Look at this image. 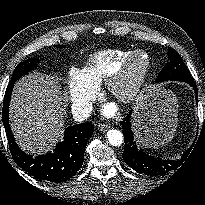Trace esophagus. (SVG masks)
<instances>
[{
	"instance_id": "esophagus-1",
	"label": "esophagus",
	"mask_w": 205,
	"mask_h": 205,
	"mask_svg": "<svg viewBox=\"0 0 205 205\" xmlns=\"http://www.w3.org/2000/svg\"><path fill=\"white\" fill-rule=\"evenodd\" d=\"M110 126L108 125H105V124H100L98 126V129L101 131V132H106L107 130H109Z\"/></svg>"
}]
</instances>
